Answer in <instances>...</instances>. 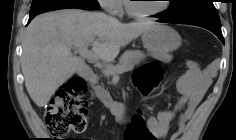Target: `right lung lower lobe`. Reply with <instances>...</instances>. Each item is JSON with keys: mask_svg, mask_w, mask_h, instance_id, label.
<instances>
[{"mask_svg": "<svg viewBox=\"0 0 236 140\" xmlns=\"http://www.w3.org/2000/svg\"><path fill=\"white\" fill-rule=\"evenodd\" d=\"M38 14H33V15H30L29 16V20H28V23L35 17V16H37Z\"/></svg>", "mask_w": 236, "mask_h": 140, "instance_id": "right-lung-lower-lobe-1", "label": "right lung lower lobe"}]
</instances>
